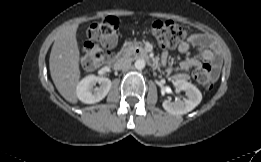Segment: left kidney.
I'll use <instances>...</instances> for the list:
<instances>
[{"mask_svg":"<svg viewBox=\"0 0 261 162\" xmlns=\"http://www.w3.org/2000/svg\"><path fill=\"white\" fill-rule=\"evenodd\" d=\"M173 85L186 93L187 99L165 100L162 104L163 108L172 115H183L192 111L202 100V94L196 86L186 80L178 79Z\"/></svg>","mask_w":261,"mask_h":162,"instance_id":"1","label":"left kidney"}]
</instances>
